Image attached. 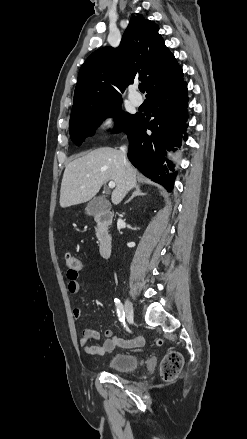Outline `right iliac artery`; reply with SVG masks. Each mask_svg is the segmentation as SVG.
Wrapping results in <instances>:
<instances>
[{"label":"right iliac artery","instance_id":"right-iliac-artery-1","mask_svg":"<svg viewBox=\"0 0 247 439\" xmlns=\"http://www.w3.org/2000/svg\"><path fill=\"white\" fill-rule=\"evenodd\" d=\"M114 302H115V306H116V309H117L119 321L122 322V321H124V318H125V312H124L123 304L117 298H115Z\"/></svg>","mask_w":247,"mask_h":439}]
</instances>
